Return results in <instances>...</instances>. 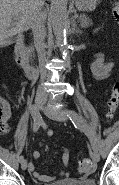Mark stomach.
<instances>
[{"label":"stomach","mask_w":119,"mask_h":185,"mask_svg":"<svg viewBox=\"0 0 119 185\" xmlns=\"http://www.w3.org/2000/svg\"><path fill=\"white\" fill-rule=\"evenodd\" d=\"M98 0H75L76 8L79 11H93Z\"/></svg>","instance_id":"stomach-1"}]
</instances>
